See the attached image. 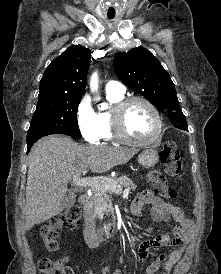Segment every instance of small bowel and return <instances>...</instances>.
<instances>
[{
  "label": "small bowel",
  "mask_w": 221,
  "mask_h": 274,
  "mask_svg": "<svg viewBox=\"0 0 221 274\" xmlns=\"http://www.w3.org/2000/svg\"><path fill=\"white\" fill-rule=\"evenodd\" d=\"M145 205H151V216L154 221L172 219L176 222V226L173 237L162 233L142 241L137 251L138 260L145 263L148 261L150 250L172 246L174 249L169 254L151 260L145 271L146 274H155L162 267V274H170L174 265L180 260L185 246L192 238V222L184 216L183 211L178 206L165 202L148 190L140 192L133 200L131 204L132 214L140 216ZM113 274L122 273L120 270H115Z\"/></svg>",
  "instance_id": "obj_1"
}]
</instances>
